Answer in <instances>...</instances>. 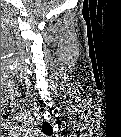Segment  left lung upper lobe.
Instances as JSON below:
<instances>
[{"label": "left lung upper lobe", "instance_id": "obj_1", "mask_svg": "<svg viewBox=\"0 0 121 137\" xmlns=\"http://www.w3.org/2000/svg\"><path fill=\"white\" fill-rule=\"evenodd\" d=\"M42 130L45 134L52 133L51 126L48 123L44 124Z\"/></svg>", "mask_w": 121, "mask_h": 137}]
</instances>
